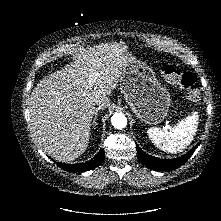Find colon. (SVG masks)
I'll use <instances>...</instances> for the list:
<instances>
[{
    "label": "colon",
    "instance_id": "colon-1",
    "mask_svg": "<svg viewBox=\"0 0 221 221\" xmlns=\"http://www.w3.org/2000/svg\"><path fill=\"white\" fill-rule=\"evenodd\" d=\"M160 74L167 82L183 88L188 100L195 102L200 99L199 84L193 73L181 72L170 64H164L160 68Z\"/></svg>",
    "mask_w": 221,
    "mask_h": 221
}]
</instances>
